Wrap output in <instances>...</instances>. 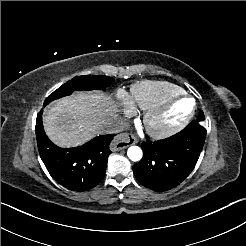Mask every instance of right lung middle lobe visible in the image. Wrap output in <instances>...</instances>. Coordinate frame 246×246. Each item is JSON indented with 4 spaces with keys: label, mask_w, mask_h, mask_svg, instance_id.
<instances>
[{
    "label": "right lung middle lobe",
    "mask_w": 246,
    "mask_h": 246,
    "mask_svg": "<svg viewBox=\"0 0 246 246\" xmlns=\"http://www.w3.org/2000/svg\"><path fill=\"white\" fill-rule=\"evenodd\" d=\"M113 81L114 79L108 76L83 75L74 77L49 95L44 106L55 99L70 95L72 91L105 90Z\"/></svg>",
    "instance_id": "right-lung-middle-lobe-1"
}]
</instances>
